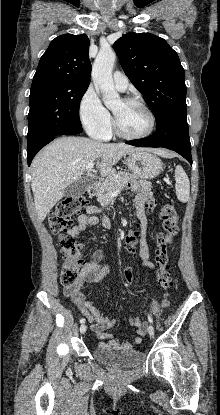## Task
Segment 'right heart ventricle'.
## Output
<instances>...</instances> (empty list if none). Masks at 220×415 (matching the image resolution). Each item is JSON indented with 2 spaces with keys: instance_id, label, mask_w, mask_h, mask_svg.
Here are the masks:
<instances>
[{
  "instance_id": "1",
  "label": "right heart ventricle",
  "mask_w": 220,
  "mask_h": 415,
  "mask_svg": "<svg viewBox=\"0 0 220 415\" xmlns=\"http://www.w3.org/2000/svg\"><path fill=\"white\" fill-rule=\"evenodd\" d=\"M110 134H111V129L109 130V133L107 134V136H105L104 138H102V139H108L109 138V136H110Z\"/></svg>"
}]
</instances>
